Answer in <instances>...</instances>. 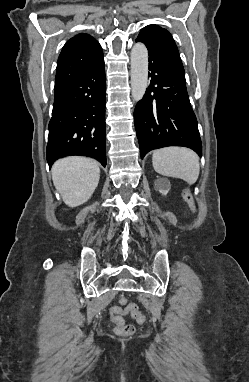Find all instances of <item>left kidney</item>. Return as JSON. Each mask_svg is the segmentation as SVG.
I'll return each mask as SVG.
<instances>
[{"instance_id":"left-kidney-1","label":"left kidney","mask_w":249,"mask_h":382,"mask_svg":"<svg viewBox=\"0 0 249 382\" xmlns=\"http://www.w3.org/2000/svg\"><path fill=\"white\" fill-rule=\"evenodd\" d=\"M171 188V184L167 179H157L155 181V189H157L162 195H167Z\"/></svg>"}]
</instances>
